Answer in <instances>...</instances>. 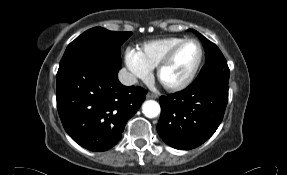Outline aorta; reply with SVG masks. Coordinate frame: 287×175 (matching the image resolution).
Listing matches in <instances>:
<instances>
[{
	"label": "aorta",
	"instance_id": "762f6f07",
	"mask_svg": "<svg viewBox=\"0 0 287 175\" xmlns=\"http://www.w3.org/2000/svg\"><path fill=\"white\" fill-rule=\"evenodd\" d=\"M142 112L148 118L157 117L160 114V105L154 100H147L142 105Z\"/></svg>",
	"mask_w": 287,
	"mask_h": 175
}]
</instances>
